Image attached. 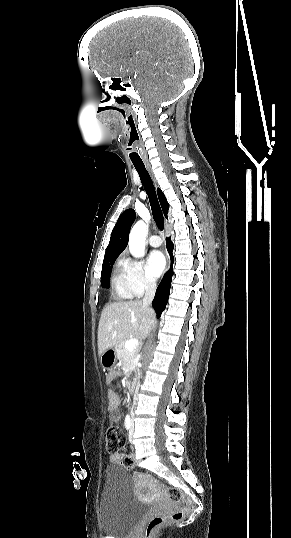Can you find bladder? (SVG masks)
<instances>
[{
	"mask_svg": "<svg viewBox=\"0 0 291 538\" xmlns=\"http://www.w3.org/2000/svg\"><path fill=\"white\" fill-rule=\"evenodd\" d=\"M149 510V505L136 498L129 472L117 465L108 466L99 503V524L105 538H126Z\"/></svg>",
	"mask_w": 291,
	"mask_h": 538,
	"instance_id": "1",
	"label": "bladder"
}]
</instances>
